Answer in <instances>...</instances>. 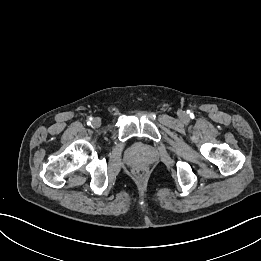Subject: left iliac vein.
<instances>
[{"label": "left iliac vein", "mask_w": 261, "mask_h": 261, "mask_svg": "<svg viewBox=\"0 0 261 261\" xmlns=\"http://www.w3.org/2000/svg\"><path fill=\"white\" fill-rule=\"evenodd\" d=\"M179 117L182 119V120H186L187 119V115L184 113V112H181L179 114Z\"/></svg>", "instance_id": "1"}]
</instances>
